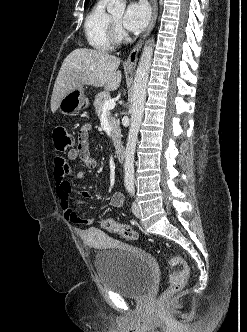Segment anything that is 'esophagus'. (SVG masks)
Segmentation results:
<instances>
[{"instance_id": "esophagus-1", "label": "esophagus", "mask_w": 247, "mask_h": 332, "mask_svg": "<svg viewBox=\"0 0 247 332\" xmlns=\"http://www.w3.org/2000/svg\"><path fill=\"white\" fill-rule=\"evenodd\" d=\"M150 4L152 7V15L150 23L146 29V31L142 34L140 39L138 40L137 44L134 46L132 51L130 52L128 58L125 60V65L128 67H135L138 59V52L140 47L142 46L144 40L147 38V36L150 34L151 30L154 27L156 16H157V1L156 0H150Z\"/></svg>"}]
</instances>
